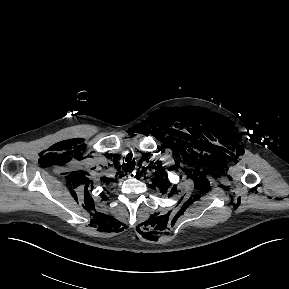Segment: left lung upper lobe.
Instances as JSON below:
<instances>
[{
  "label": "left lung upper lobe",
  "mask_w": 289,
  "mask_h": 289,
  "mask_svg": "<svg viewBox=\"0 0 289 289\" xmlns=\"http://www.w3.org/2000/svg\"><path fill=\"white\" fill-rule=\"evenodd\" d=\"M158 171H159V174L154 177V178H155V179H154V184H155L157 187H159L160 189H163V187H164V186L166 185V183H167V176H166L163 168H161V169L158 170ZM167 188H168L167 186H166V188H164L163 193H165V192L167 191ZM173 191H174V190H172V191L170 192V194H172Z\"/></svg>",
  "instance_id": "5c2ea615"
}]
</instances>
